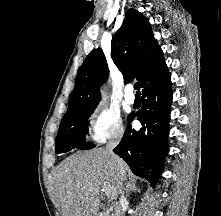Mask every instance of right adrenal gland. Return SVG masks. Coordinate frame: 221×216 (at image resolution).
I'll list each match as a JSON object with an SVG mask.
<instances>
[{"instance_id":"obj_1","label":"right adrenal gland","mask_w":221,"mask_h":216,"mask_svg":"<svg viewBox=\"0 0 221 216\" xmlns=\"http://www.w3.org/2000/svg\"><path fill=\"white\" fill-rule=\"evenodd\" d=\"M131 191L140 192L141 189H140L138 186H136V187H135V186L129 187V185H128V186H127V189H126V197H129Z\"/></svg>"}]
</instances>
